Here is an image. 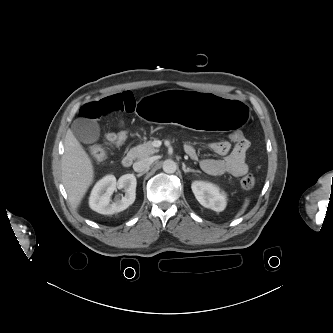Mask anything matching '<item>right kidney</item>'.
Returning a JSON list of instances; mask_svg holds the SVG:
<instances>
[{"mask_svg":"<svg viewBox=\"0 0 333 333\" xmlns=\"http://www.w3.org/2000/svg\"><path fill=\"white\" fill-rule=\"evenodd\" d=\"M136 184V177L133 174H125L118 181L113 175L103 177L92 189L89 198L90 208L104 215L125 210L135 201ZM117 188L124 189L125 196L112 202L111 196Z\"/></svg>","mask_w":333,"mask_h":333,"instance_id":"obj_1","label":"right kidney"}]
</instances>
